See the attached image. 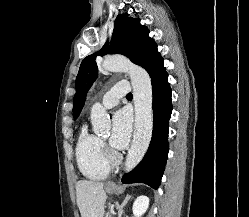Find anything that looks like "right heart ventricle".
Returning a JSON list of instances; mask_svg holds the SVG:
<instances>
[{
	"label": "right heart ventricle",
	"mask_w": 249,
	"mask_h": 217,
	"mask_svg": "<svg viewBox=\"0 0 249 217\" xmlns=\"http://www.w3.org/2000/svg\"><path fill=\"white\" fill-rule=\"evenodd\" d=\"M76 160L81 173L91 180H103L110 172L102 142L83 125L76 143Z\"/></svg>",
	"instance_id": "e07e8e85"
}]
</instances>
